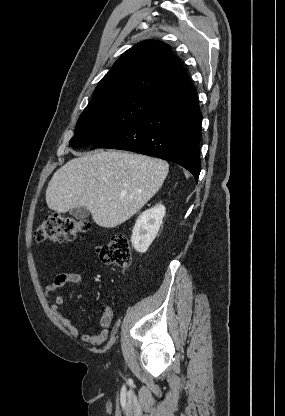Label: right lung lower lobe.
I'll return each mask as SVG.
<instances>
[{"label": "right lung lower lobe", "instance_id": "right-lung-lower-lobe-1", "mask_svg": "<svg viewBox=\"0 0 285 416\" xmlns=\"http://www.w3.org/2000/svg\"><path fill=\"white\" fill-rule=\"evenodd\" d=\"M201 120L197 95L161 107L93 148L133 151L177 163L198 180L201 170Z\"/></svg>", "mask_w": 285, "mask_h": 416}]
</instances>
